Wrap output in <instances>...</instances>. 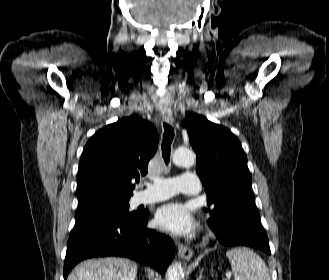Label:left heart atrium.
Returning a JSON list of instances; mask_svg holds the SVG:
<instances>
[{
  "instance_id": "obj_1",
  "label": "left heart atrium",
  "mask_w": 329,
  "mask_h": 280,
  "mask_svg": "<svg viewBox=\"0 0 329 280\" xmlns=\"http://www.w3.org/2000/svg\"><path fill=\"white\" fill-rule=\"evenodd\" d=\"M155 220L158 227L176 235H188L194 228L191 214L179 203H169L160 207Z\"/></svg>"
}]
</instances>
